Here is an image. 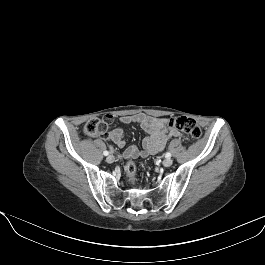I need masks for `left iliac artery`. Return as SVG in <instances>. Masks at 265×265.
<instances>
[{
    "label": "left iliac artery",
    "mask_w": 265,
    "mask_h": 265,
    "mask_svg": "<svg viewBox=\"0 0 265 265\" xmlns=\"http://www.w3.org/2000/svg\"><path fill=\"white\" fill-rule=\"evenodd\" d=\"M165 157H166V158H170V157H171V153L167 152V153L165 154Z\"/></svg>",
    "instance_id": "44dca946"
}]
</instances>
